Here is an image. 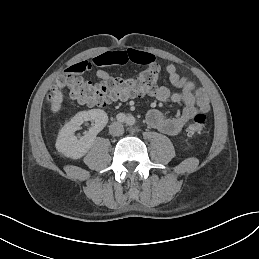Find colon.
Here are the masks:
<instances>
[{
	"mask_svg": "<svg viewBox=\"0 0 259 259\" xmlns=\"http://www.w3.org/2000/svg\"><path fill=\"white\" fill-rule=\"evenodd\" d=\"M159 77V67L154 63L136 76L128 78L109 77L101 83H92L80 76L66 74L58 79L53 92H63L71 99L82 104L104 107L128 98L152 94L157 88ZM207 126V117L204 114H198L193 122L187 126L186 132L188 135L199 134Z\"/></svg>",
	"mask_w": 259,
	"mask_h": 259,
	"instance_id": "obj_1",
	"label": "colon"
}]
</instances>
